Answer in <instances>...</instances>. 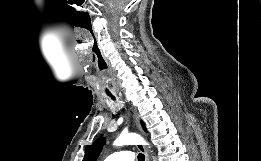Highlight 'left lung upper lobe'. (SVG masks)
<instances>
[{"label": "left lung upper lobe", "instance_id": "1", "mask_svg": "<svg viewBox=\"0 0 261 161\" xmlns=\"http://www.w3.org/2000/svg\"><path fill=\"white\" fill-rule=\"evenodd\" d=\"M144 127V124L142 123ZM105 144V138L96 140L92 145L86 146L85 157L83 161H95L101 152L102 146Z\"/></svg>", "mask_w": 261, "mask_h": 161}]
</instances>
